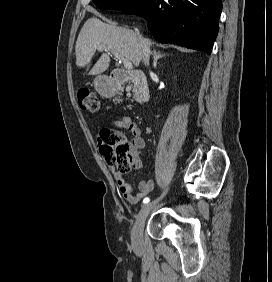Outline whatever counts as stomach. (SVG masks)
I'll return each instance as SVG.
<instances>
[{
  "mask_svg": "<svg viewBox=\"0 0 272 282\" xmlns=\"http://www.w3.org/2000/svg\"><path fill=\"white\" fill-rule=\"evenodd\" d=\"M96 90L100 93H106L108 89L107 78L105 76H98L95 78Z\"/></svg>",
  "mask_w": 272,
  "mask_h": 282,
  "instance_id": "0dacf381",
  "label": "stomach"
}]
</instances>
